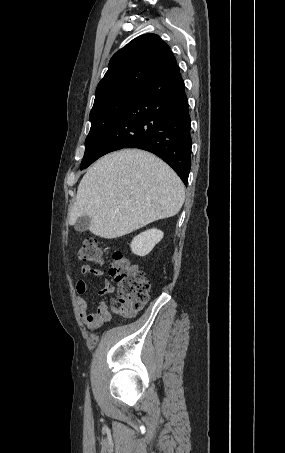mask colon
Segmentation results:
<instances>
[{
    "instance_id": "1",
    "label": "colon",
    "mask_w": 285,
    "mask_h": 453,
    "mask_svg": "<svg viewBox=\"0 0 285 453\" xmlns=\"http://www.w3.org/2000/svg\"><path fill=\"white\" fill-rule=\"evenodd\" d=\"M79 258L86 262L102 263L103 250L99 239L86 238ZM110 274L117 283L116 300L122 313L133 315L142 309L149 299L150 291L145 273L121 252H115L110 263Z\"/></svg>"
}]
</instances>
